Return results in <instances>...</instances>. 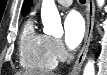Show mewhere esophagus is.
<instances>
[{
  "label": "esophagus",
  "instance_id": "esophagus-1",
  "mask_svg": "<svg viewBox=\"0 0 107 75\" xmlns=\"http://www.w3.org/2000/svg\"><path fill=\"white\" fill-rule=\"evenodd\" d=\"M87 28L84 37L83 46L77 56V59L73 65V68L70 72V75H78L82 64L86 58L90 42L93 37V28H94V21H95V6L93 0H87Z\"/></svg>",
  "mask_w": 107,
  "mask_h": 75
}]
</instances>
